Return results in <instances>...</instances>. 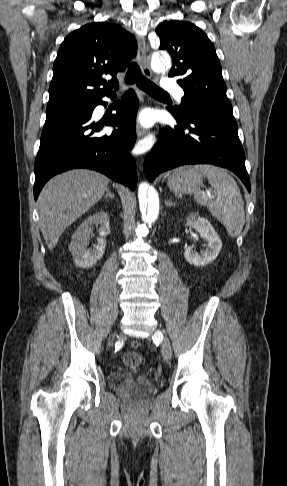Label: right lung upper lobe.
I'll use <instances>...</instances> for the list:
<instances>
[{
	"instance_id": "1",
	"label": "right lung upper lobe",
	"mask_w": 287,
	"mask_h": 486,
	"mask_svg": "<svg viewBox=\"0 0 287 486\" xmlns=\"http://www.w3.org/2000/svg\"><path fill=\"white\" fill-rule=\"evenodd\" d=\"M136 50L134 37L119 25L90 23L73 31L54 61L47 109L89 105L114 95L116 74L126 69ZM104 75L112 79L106 81Z\"/></svg>"
}]
</instances>
